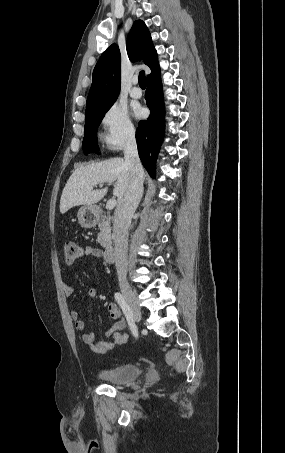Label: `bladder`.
<instances>
[{
  "instance_id": "31cf9c89",
  "label": "bladder",
  "mask_w": 285,
  "mask_h": 453,
  "mask_svg": "<svg viewBox=\"0 0 285 453\" xmlns=\"http://www.w3.org/2000/svg\"><path fill=\"white\" fill-rule=\"evenodd\" d=\"M97 375L111 384H125L136 380L141 375V369L136 364H121L108 368H100Z\"/></svg>"
}]
</instances>
